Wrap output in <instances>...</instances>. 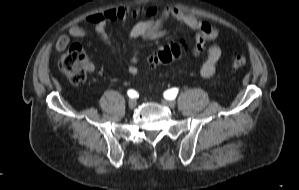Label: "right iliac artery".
I'll return each instance as SVG.
<instances>
[{
	"instance_id": "obj_1",
	"label": "right iliac artery",
	"mask_w": 299,
	"mask_h": 190,
	"mask_svg": "<svg viewBox=\"0 0 299 190\" xmlns=\"http://www.w3.org/2000/svg\"><path fill=\"white\" fill-rule=\"evenodd\" d=\"M127 94L131 98L138 97V93L135 90H133V89L128 90Z\"/></svg>"
}]
</instances>
